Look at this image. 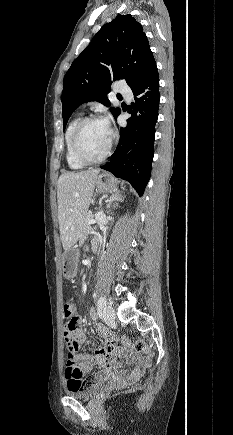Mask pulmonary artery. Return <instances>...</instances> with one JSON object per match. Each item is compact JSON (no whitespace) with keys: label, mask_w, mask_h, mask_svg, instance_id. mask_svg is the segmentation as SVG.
<instances>
[{"label":"pulmonary artery","mask_w":233,"mask_h":435,"mask_svg":"<svg viewBox=\"0 0 233 435\" xmlns=\"http://www.w3.org/2000/svg\"><path fill=\"white\" fill-rule=\"evenodd\" d=\"M115 91L117 93H119V95H121L122 97L126 98V99H130L131 97V92L130 89L126 86V85H117L115 87Z\"/></svg>","instance_id":"e3ab8cb5"}]
</instances>
